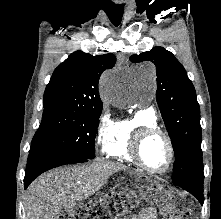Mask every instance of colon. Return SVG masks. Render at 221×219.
Instances as JSON below:
<instances>
[{
  "instance_id": "colon-1",
  "label": "colon",
  "mask_w": 221,
  "mask_h": 219,
  "mask_svg": "<svg viewBox=\"0 0 221 219\" xmlns=\"http://www.w3.org/2000/svg\"><path fill=\"white\" fill-rule=\"evenodd\" d=\"M121 198L118 192H109L98 203L76 207L61 213L56 219H108L113 207L121 201ZM160 205L165 206V203ZM163 219H194V217L190 209L182 208L175 213H166Z\"/></svg>"
}]
</instances>
